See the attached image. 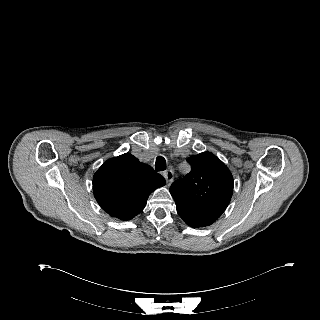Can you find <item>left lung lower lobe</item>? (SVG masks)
<instances>
[{
	"label": "left lung lower lobe",
	"instance_id": "1",
	"mask_svg": "<svg viewBox=\"0 0 320 320\" xmlns=\"http://www.w3.org/2000/svg\"><path fill=\"white\" fill-rule=\"evenodd\" d=\"M176 209L184 222L193 228L211 225L219 218V216L203 213L181 203H176Z\"/></svg>",
	"mask_w": 320,
	"mask_h": 320
}]
</instances>
